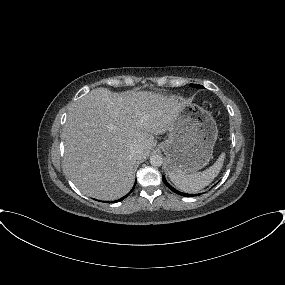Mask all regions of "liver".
I'll return each instance as SVG.
<instances>
[{
	"label": "liver",
	"instance_id": "liver-1",
	"mask_svg": "<svg viewBox=\"0 0 285 285\" xmlns=\"http://www.w3.org/2000/svg\"><path fill=\"white\" fill-rule=\"evenodd\" d=\"M147 91L113 93L96 88L72 104L63 128V170L85 195L116 200L134 183L136 160L145 159L186 105ZM137 144L135 159L130 147Z\"/></svg>",
	"mask_w": 285,
	"mask_h": 285
}]
</instances>
